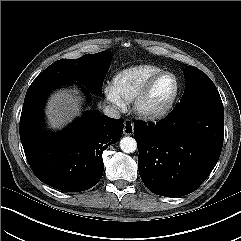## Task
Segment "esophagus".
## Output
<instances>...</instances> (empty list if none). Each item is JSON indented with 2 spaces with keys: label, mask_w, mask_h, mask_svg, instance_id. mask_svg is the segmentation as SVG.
Wrapping results in <instances>:
<instances>
[{
  "label": "esophagus",
  "mask_w": 241,
  "mask_h": 241,
  "mask_svg": "<svg viewBox=\"0 0 241 241\" xmlns=\"http://www.w3.org/2000/svg\"><path fill=\"white\" fill-rule=\"evenodd\" d=\"M123 132L125 135H132L134 132V125L132 123V121L130 120H126L124 122V129Z\"/></svg>",
  "instance_id": "34e87169"
}]
</instances>
